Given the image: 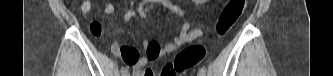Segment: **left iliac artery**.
Returning <instances> with one entry per match:
<instances>
[{
    "label": "left iliac artery",
    "mask_w": 333,
    "mask_h": 76,
    "mask_svg": "<svg viewBox=\"0 0 333 76\" xmlns=\"http://www.w3.org/2000/svg\"><path fill=\"white\" fill-rule=\"evenodd\" d=\"M200 72L205 73V72H206V68H205V67H202V68L200 69Z\"/></svg>",
    "instance_id": "1"
}]
</instances>
